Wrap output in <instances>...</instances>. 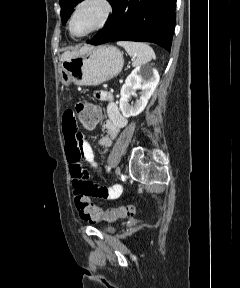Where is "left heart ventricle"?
<instances>
[{
    "instance_id": "1",
    "label": "left heart ventricle",
    "mask_w": 240,
    "mask_h": 288,
    "mask_svg": "<svg viewBox=\"0 0 240 288\" xmlns=\"http://www.w3.org/2000/svg\"><path fill=\"white\" fill-rule=\"evenodd\" d=\"M103 14L101 5L97 3H89L84 5L76 13L72 30L76 35H82L98 25Z\"/></svg>"
}]
</instances>
